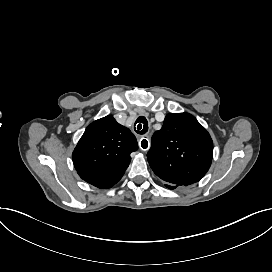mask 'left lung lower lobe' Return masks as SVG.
<instances>
[{
  "label": "left lung lower lobe",
  "mask_w": 272,
  "mask_h": 272,
  "mask_svg": "<svg viewBox=\"0 0 272 272\" xmlns=\"http://www.w3.org/2000/svg\"><path fill=\"white\" fill-rule=\"evenodd\" d=\"M167 188H169V189H175L176 188V186H173V185H170V184H166L165 185Z\"/></svg>",
  "instance_id": "1"
}]
</instances>
